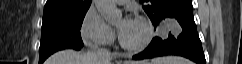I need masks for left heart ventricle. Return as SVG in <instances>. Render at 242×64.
I'll return each mask as SVG.
<instances>
[{"label":"left heart ventricle","mask_w":242,"mask_h":64,"mask_svg":"<svg viewBox=\"0 0 242 64\" xmlns=\"http://www.w3.org/2000/svg\"><path fill=\"white\" fill-rule=\"evenodd\" d=\"M123 21L118 23V26L121 27ZM145 36V30L142 25L136 22L134 28L125 36H123L124 40L131 44H136L142 41Z\"/></svg>","instance_id":"b2bd125f"}]
</instances>
